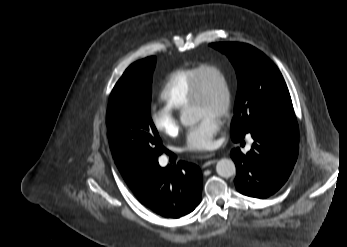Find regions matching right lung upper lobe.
<instances>
[{"label": "right lung upper lobe", "instance_id": "right-lung-upper-lobe-1", "mask_svg": "<svg viewBox=\"0 0 347 247\" xmlns=\"http://www.w3.org/2000/svg\"><path fill=\"white\" fill-rule=\"evenodd\" d=\"M119 170L128 185H132L136 182V179L142 174L143 168L138 166H126L119 167Z\"/></svg>", "mask_w": 347, "mask_h": 247}]
</instances>
